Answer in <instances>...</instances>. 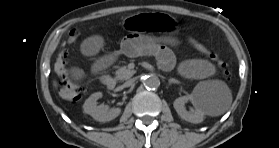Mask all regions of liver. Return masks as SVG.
I'll return each instance as SVG.
<instances>
[{"instance_id":"1","label":"liver","mask_w":279,"mask_h":148,"mask_svg":"<svg viewBox=\"0 0 279 148\" xmlns=\"http://www.w3.org/2000/svg\"><path fill=\"white\" fill-rule=\"evenodd\" d=\"M53 86L56 88L57 87V82L54 80L53 81Z\"/></svg>"}]
</instances>
